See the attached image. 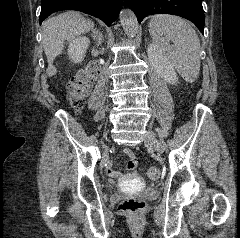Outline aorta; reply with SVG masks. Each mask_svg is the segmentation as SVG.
Returning a JSON list of instances; mask_svg holds the SVG:
<instances>
[{"label": "aorta", "instance_id": "762f6f07", "mask_svg": "<svg viewBox=\"0 0 240 238\" xmlns=\"http://www.w3.org/2000/svg\"><path fill=\"white\" fill-rule=\"evenodd\" d=\"M119 18L125 34L131 38L135 37L138 33V21L135 14L129 9H124L120 12Z\"/></svg>", "mask_w": 240, "mask_h": 238}]
</instances>
